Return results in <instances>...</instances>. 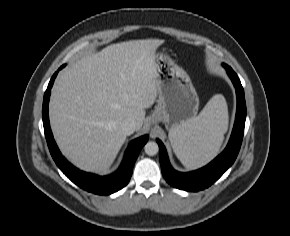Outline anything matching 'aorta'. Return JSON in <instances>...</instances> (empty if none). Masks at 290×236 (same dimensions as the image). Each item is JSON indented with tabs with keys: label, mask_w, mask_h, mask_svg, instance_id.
Returning a JSON list of instances; mask_svg holds the SVG:
<instances>
[{
	"label": "aorta",
	"mask_w": 290,
	"mask_h": 236,
	"mask_svg": "<svg viewBox=\"0 0 290 236\" xmlns=\"http://www.w3.org/2000/svg\"><path fill=\"white\" fill-rule=\"evenodd\" d=\"M144 151L147 155L149 156H154L158 153L159 151V146L156 142L154 141H149L145 144L144 146Z\"/></svg>",
	"instance_id": "aorta-1"
}]
</instances>
